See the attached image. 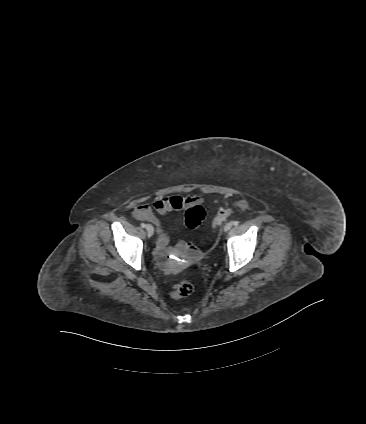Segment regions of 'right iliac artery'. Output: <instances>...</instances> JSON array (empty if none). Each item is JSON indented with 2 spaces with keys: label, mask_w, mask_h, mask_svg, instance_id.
<instances>
[{
  "label": "right iliac artery",
  "mask_w": 366,
  "mask_h": 424,
  "mask_svg": "<svg viewBox=\"0 0 366 424\" xmlns=\"http://www.w3.org/2000/svg\"><path fill=\"white\" fill-rule=\"evenodd\" d=\"M141 227L142 228H145L146 227V224L145 223H141Z\"/></svg>",
  "instance_id": "right-iliac-artery-1"
}]
</instances>
